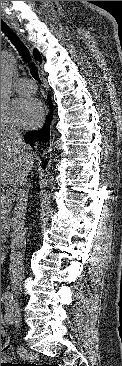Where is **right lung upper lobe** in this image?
I'll use <instances>...</instances> for the list:
<instances>
[{"label":"right lung upper lobe","mask_w":122,"mask_h":366,"mask_svg":"<svg viewBox=\"0 0 122 366\" xmlns=\"http://www.w3.org/2000/svg\"><path fill=\"white\" fill-rule=\"evenodd\" d=\"M33 54L36 60H38L39 62L42 61L40 53L36 49L34 50Z\"/></svg>","instance_id":"right-lung-upper-lobe-1"}]
</instances>
